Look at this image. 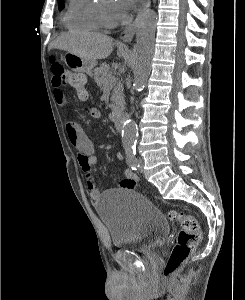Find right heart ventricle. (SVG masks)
Instances as JSON below:
<instances>
[{
	"instance_id": "obj_1",
	"label": "right heart ventricle",
	"mask_w": 245,
	"mask_h": 300,
	"mask_svg": "<svg viewBox=\"0 0 245 300\" xmlns=\"http://www.w3.org/2000/svg\"><path fill=\"white\" fill-rule=\"evenodd\" d=\"M65 25L75 31H98L103 27L101 7L95 0H70Z\"/></svg>"
}]
</instances>
